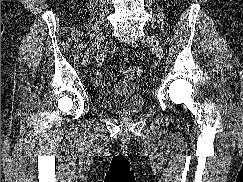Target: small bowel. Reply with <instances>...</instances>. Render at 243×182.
Listing matches in <instances>:
<instances>
[{
    "instance_id": "1",
    "label": "small bowel",
    "mask_w": 243,
    "mask_h": 182,
    "mask_svg": "<svg viewBox=\"0 0 243 182\" xmlns=\"http://www.w3.org/2000/svg\"><path fill=\"white\" fill-rule=\"evenodd\" d=\"M110 53H111V50H105L102 53H100L95 59V62H94V64H95V82L97 85H101L103 83V78L101 75L100 68H101L104 60ZM130 88H131V84L128 81H121L117 85V89L120 91H124V92L129 91Z\"/></svg>"
}]
</instances>
